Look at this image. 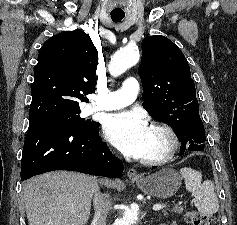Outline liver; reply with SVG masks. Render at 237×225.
<instances>
[{"mask_svg": "<svg viewBox=\"0 0 237 225\" xmlns=\"http://www.w3.org/2000/svg\"><path fill=\"white\" fill-rule=\"evenodd\" d=\"M101 183L116 187L113 181ZM97 187L96 177L76 172L53 171L31 178L24 186L29 225H85Z\"/></svg>", "mask_w": 237, "mask_h": 225, "instance_id": "1", "label": "liver"}]
</instances>
